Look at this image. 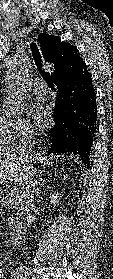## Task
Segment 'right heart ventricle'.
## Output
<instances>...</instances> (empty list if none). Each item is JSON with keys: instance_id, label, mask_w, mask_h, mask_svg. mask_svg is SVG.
<instances>
[{"instance_id": "right-heart-ventricle-1", "label": "right heart ventricle", "mask_w": 113, "mask_h": 279, "mask_svg": "<svg viewBox=\"0 0 113 279\" xmlns=\"http://www.w3.org/2000/svg\"><path fill=\"white\" fill-rule=\"evenodd\" d=\"M13 119L7 116L0 107V147L13 142L12 135Z\"/></svg>"}]
</instances>
